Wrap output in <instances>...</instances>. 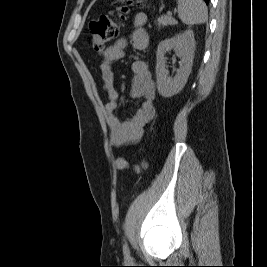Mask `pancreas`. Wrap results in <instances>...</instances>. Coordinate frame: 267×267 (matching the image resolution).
<instances>
[{"label": "pancreas", "mask_w": 267, "mask_h": 267, "mask_svg": "<svg viewBox=\"0 0 267 267\" xmlns=\"http://www.w3.org/2000/svg\"><path fill=\"white\" fill-rule=\"evenodd\" d=\"M156 23L158 27L160 28L161 26L164 27L168 25H176L178 22L174 18L164 15V16L159 17L156 20Z\"/></svg>", "instance_id": "cf45deb5"}]
</instances>
